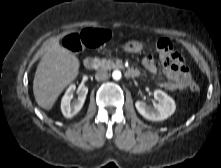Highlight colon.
Returning <instances> with one entry per match:
<instances>
[{"label": "colon", "instance_id": "1", "mask_svg": "<svg viewBox=\"0 0 221 168\" xmlns=\"http://www.w3.org/2000/svg\"><path fill=\"white\" fill-rule=\"evenodd\" d=\"M110 38V31L107 29L88 28L80 33L69 34L64 37L62 43L70 51L78 52L85 47H96ZM156 48L160 55L172 54L173 45L167 38L157 41ZM189 87L192 91H198L199 85L190 78Z\"/></svg>", "mask_w": 221, "mask_h": 168}]
</instances>
